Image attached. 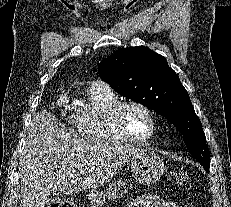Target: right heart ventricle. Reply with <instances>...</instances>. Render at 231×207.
<instances>
[{
  "instance_id": "right-heart-ventricle-1",
  "label": "right heart ventricle",
  "mask_w": 231,
  "mask_h": 207,
  "mask_svg": "<svg viewBox=\"0 0 231 207\" xmlns=\"http://www.w3.org/2000/svg\"><path fill=\"white\" fill-rule=\"evenodd\" d=\"M121 103L118 95L106 84H92L87 101L80 105L73 116L77 132L85 139L96 142H125L113 119Z\"/></svg>"
}]
</instances>
